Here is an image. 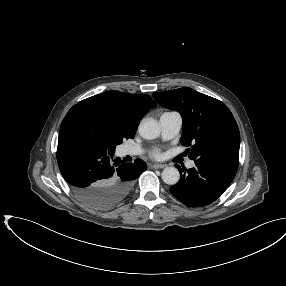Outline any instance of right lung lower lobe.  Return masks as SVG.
<instances>
[{
    "label": "right lung lower lobe",
    "instance_id": "obj_1",
    "mask_svg": "<svg viewBox=\"0 0 286 286\" xmlns=\"http://www.w3.org/2000/svg\"><path fill=\"white\" fill-rule=\"evenodd\" d=\"M113 156L75 127L61 124L58 166L74 194L85 204L99 209L118 204L130 192L133 181L146 170L140 159L123 164Z\"/></svg>",
    "mask_w": 286,
    "mask_h": 286
}]
</instances>
